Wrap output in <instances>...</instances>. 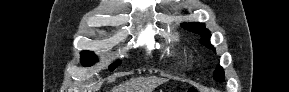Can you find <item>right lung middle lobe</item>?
I'll return each mask as SVG.
<instances>
[{"label": "right lung middle lobe", "mask_w": 289, "mask_h": 92, "mask_svg": "<svg viewBox=\"0 0 289 92\" xmlns=\"http://www.w3.org/2000/svg\"><path fill=\"white\" fill-rule=\"evenodd\" d=\"M97 61V57L95 54H93L90 51H83L81 53V62L84 66H90L92 65L94 62ZM121 63V61H117L115 63H113L110 67L109 70L113 71L115 69V67H117L119 64Z\"/></svg>", "instance_id": "dd1d6c3e"}]
</instances>
